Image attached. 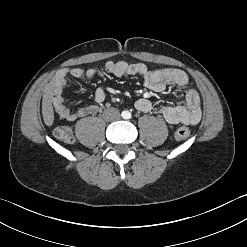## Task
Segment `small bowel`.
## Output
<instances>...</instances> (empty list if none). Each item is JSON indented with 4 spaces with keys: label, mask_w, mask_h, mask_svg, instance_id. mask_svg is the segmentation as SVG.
<instances>
[{
    "label": "small bowel",
    "mask_w": 247,
    "mask_h": 247,
    "mask_svg": "<svg viewBox=\"0 0 247 247\" xmlns=\"http://www.w3.org/2000/svg\"><path fill=\"white\" fill-rule=\"evenodd\" d=\"M104 72L116 77L139 75L147 88L155 92L165 90L167 84H175L184 90V105L173 104L155 107L148 98H140L135 108L143 113L155 112L169 124L196 125L202 115L200 98L195 89L189 86L186 73L175 68H148L143 63H127L108 61L103 66ZM98 73L95 68L84 70L79 67L59 71L52 81L51 102L58 117L65 121H74L82 117L94 115L99 111L100 104L105 100V91L98 88L94 95V104L71 110L65 105L63 92L67 85V77L77 79H93Z\"/></svg>",
    "instance_id": "small-bowel-1"
}]
</instances>
